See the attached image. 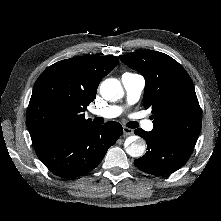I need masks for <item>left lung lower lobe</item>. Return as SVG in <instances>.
Listing matches in <instances>:
<instances>
[{
    "label": "left lung lower lobe",
    "mask_w": 221,
    "mask_h": 221,
    "mask_svg": "<svg viewBox=\"0 0 221 221\" xmlns=\"http://www.w3.org/2000/svg\"><path fill=\"white\" fill-rule=\"evenodd\" d=\"M135 134L143 137L147 143L146 154L135 160L140 170L153 175H168L181 168L190 158L193 148L154 133L136 129Z\"/></svg>",
    "instance_id": "0a47b994"
}]
</instances>
